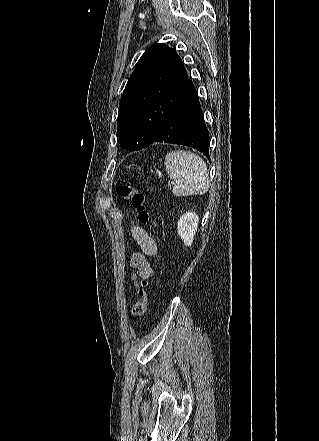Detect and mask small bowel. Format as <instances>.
Masks as SVG:
<instances>
[{
	"mask_svg": "<svg viewBox=\"0 0 319 441\" xmlns=\"http://www.w3.org/2000/svg\"><path fill=\"white\" fill-rule=\"evenodd\" d=\"M154 228H158L156 221H151ZM130 230L134 240L139 244L143 253L135 252L131 255L130 265L135 270L131 279L138 286V276L148 278L152 273V268L146 259V256L155 255L157 246L155 240L141 226L131 222Z\"/></svg>",
	"mask_w": 319,
	"mask_h": 441,
	"instance_id": "c3829d8e",
	"label": "small bowel"
}]
</instances>
